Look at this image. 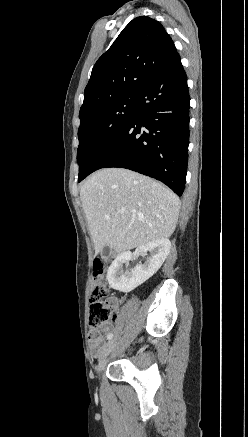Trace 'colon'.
<instances>
[{
    "label": "colon",
    "mask_w": 248,
    "mask_h": 437,
    "mask_svg": "<svg viewBox=\"0 0 248 437\" xmlns=\"http://www.w3.org/2000/svg\"><path fill=\"white\" fill-rule=\"evenodd\" d=\"M110 287L105 278V264L102 260H95L90 285L89 325L98 328L115 321L116 309L109 298Z\"/></svg>",
    "instance_id": "obj_1"
}]
</instances>
